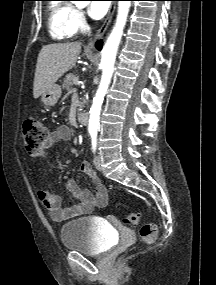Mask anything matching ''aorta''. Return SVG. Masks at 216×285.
I'll list each match as a JSON object with an SVG mask.
<instances>
[{
    "label": "aorta",
    "mask_w": 216,
    "mask_h": 285,
    "mask_svg": "<svg viewBox=\"0 0 216 285\" xmlns=\"http://www.w3.org/2000/svg\"><path fill=\"white\" fill-rule=\"evenodd\" d=\"M76 3L83 4L84 2L77 1ZM130 6L131 1L118 2V13L115 26L101 52L102 77L90 109V119L88 126V131L90 134H96L98 131L101 106L114 71L116 54L123 35L124 27L126 25Z\"/></svg>",
    "instance_id": "1"
}]
</instances>
